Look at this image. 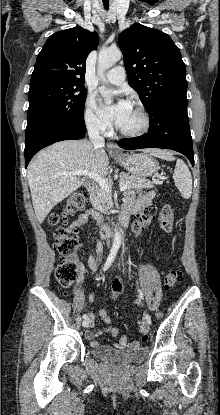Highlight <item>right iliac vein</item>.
<instances>
[{"instance_id": "obj_1", "label": "right iliac vein", "mask_w": 220, "mask_h": 415, "mask_svg": "<svg viewBox=\"0 0 220 415\" xmlns=\"http://www.w3.org/2000/svg\"><path fill=\"white\" fill-rule=\"evenodd\" d=\"M90 324H91V320L88 318V319H85L83 322H82V326L84 327V328H87V327H89L90 326Z\"/></svg>"}]
</instances>
